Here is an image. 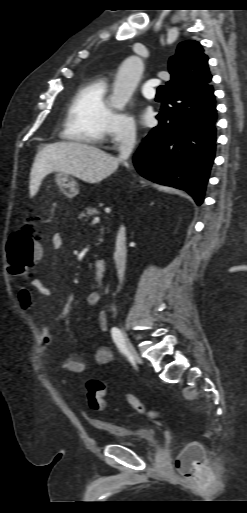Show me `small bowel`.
<instances>
[{
  "label": "small bowel",
  "instance_id": "1",
  "mask_svg": "<svg viewBox=\"0 0 247 513\" xmlns=\"http://www.w3.org/2000/svg\"><path fill=\"white\" fill-rule=\"evenodd\" d=\"M52 246L55 250H58L63 245L62 234L56 232L51 238ZM31 288L42 296H50L52 289L46 285L42 280L38 278H32L30 283ZM19 301L22 306L29 308L32 304L31 292L21 287L19 289ZM85 302L89 307H98L102 302V298L99 292H90L87 294ZM97 323L100 331L105 332L108 327L107 315L103 309H100L97 314ZM41 339L39 345V351L43 358H47L50 355L52 346V334L47 324H42L40 327ZM94 363L97 366H104L112 362L113 354L110 348L107 346H100L94 353ZM59 368L70 372V373H82L85 370V362L76 355L66 356L58 365Z\"/></svg>",
  "mask_w": 247,
  "mask_h": 513
}]
</instances>
